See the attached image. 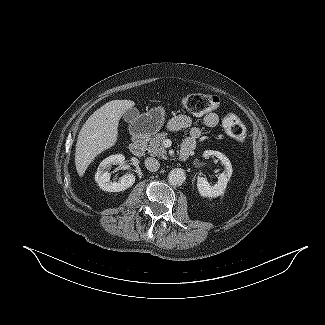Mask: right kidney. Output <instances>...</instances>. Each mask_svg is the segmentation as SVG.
Here are the masks:
<instances>
[{
	"mask_svg": "<svg viewBox=\"0 0 325 325\" xmlns=\"http://www.w3.org/2000/svg\"><path fill=\"white\" fill-rule=\"evenodd\" d=\"M125 160L124 155L116 154L105 158L100 165L95 174V181L98 183L99 187L108 192H120L131 187L135 182V176L131 173L125 174L120 178L118 182L110 181L111 174L105 171L106 168L113 164H123Z\"/></svg>",
	"mask_w": 325,
	"mask_h": 325,
	"instance_id": "obj_1",
	"label": "right kidney"
}]
</instances>
